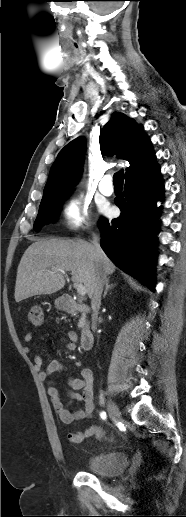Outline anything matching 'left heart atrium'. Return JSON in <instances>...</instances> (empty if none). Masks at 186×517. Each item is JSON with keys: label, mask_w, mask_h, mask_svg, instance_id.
Returning a JSON list of instances; mask_svg holds the SVG:
<instances>
[{"label": "left heart atrium", "mask_w": 186, "mask_h": 517, "mask_svg": "<svg viewBox=\"0 0 186 517\" xmlns=\"http://www.w3.org/2000/svg\"><path fill=\"white\" fill-rule=\"evenodd\" d=\"M103 211H104L105 213H108V212H109V207L104 206V207H103Z\"/></svg>", "instance_id": "39dd6f15"}]
</instances>
